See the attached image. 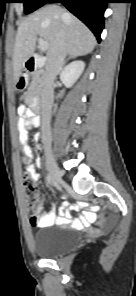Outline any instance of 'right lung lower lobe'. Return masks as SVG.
Wrapping results in <instances>:
<instances>
[{
    "instance_id": "right-lung-lower-lobe-1",
    "label": "right lung lower lobe",
    "mask_w": 136,
    "mask_h": 296,
    "mask_svg": "<svg viewBox=\"0 0 136 296\" xmlns=\"http://www.w3.org/2000/svg\"><path fill=\"white\" fill-rule=\"evenodd\" d=\"M109 0H47L46 3H62L71 13L84 22L101 41L104 11Z\"/></svg>"
}]
</instances>
